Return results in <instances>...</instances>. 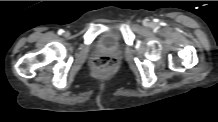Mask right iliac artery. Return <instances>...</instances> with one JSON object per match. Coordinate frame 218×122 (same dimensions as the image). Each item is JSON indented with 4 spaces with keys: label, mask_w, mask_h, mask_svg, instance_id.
Returning a JSON list of instances; mask_svg holds the SVG:
<instances>
[{
    "label": "right iliac artery",
    "mask_w": 218,
    "mask_h": 122,
    "mask_svg": "<svg viewBox=\"0 0 218 122\" xmlns=\"http://www.w3.org/2000/svg\"><path fill=\"white\" fill-rule=\"evenodd\" d=\"M64 33V30L63 29H60L59 31H58V34L59 35H62Z\"/></svg>",
    "instance_id": "1"
}]
</instances>
